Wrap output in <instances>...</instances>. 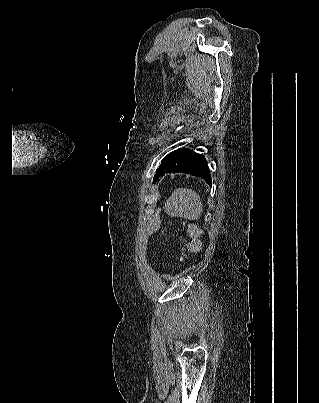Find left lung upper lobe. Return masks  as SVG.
Masks as SVG:
<instances>
[{"label":"left lung upper lobe","mask_w":319,"mask_h":403,"mask_svg":"<svg viewBox=\"0 0 319 403\" xmlns=\"http://www.w3.org/2000/svg\"><path fill=\"white\" fill-rule=\"evenodd\" d=\"M176 151H173L171 153H169L168 155H166L163 160L161 161V164L159 166V168L156 170V175L154 176V181H156L158 179L159 176H161L164 172V170L166 169V167L168 166L169 162L171 161L173 155L175 154Z\"/></svg>","instance_id":"5c2ea615"}]
</instances>
